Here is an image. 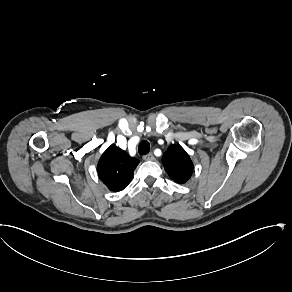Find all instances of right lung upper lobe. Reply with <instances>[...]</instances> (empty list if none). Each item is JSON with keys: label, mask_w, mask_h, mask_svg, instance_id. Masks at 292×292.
Instances as JSON below:
<instances>
[{"label": "right lung upper lobe", "mask_w": 292, "mask_h": 292, "mask_svg": "<svg viewBox=\"0 0 292 292\" xmlns=\"http://www.w3.org/2000/svg\"><path fill=\"white\" fill-rule=\"evenodd\" d=\"M138 164V159L130 157L125 151L111 145L101 156L97 171L101 181L111 191L117 192L128 186Z\"/></svg>", "instance_id": "cb5924a9"}]
</instances>
